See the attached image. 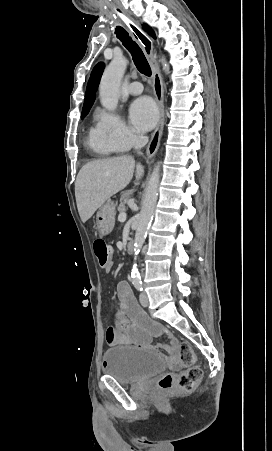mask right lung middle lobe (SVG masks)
Segmentation results:
<instances>
[{
    "label": "right lung middle lobe",
    "mask_w": 272,
    "mask_h": 451,
    "mask_svg": "<svg viewBox=\"0 0 272 451\" xmlns=\"http://www.w3.org/2000/svg\"><path fill=\"white\" fill-rule=\"evenodd\" d=\"M90 108H83L82 109V115H81V119H83L89 112Z\"/></svg>",
    "instance_id": "obj_1"
}]
</instances>
